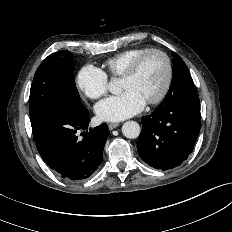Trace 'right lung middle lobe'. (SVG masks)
Masks as SVG:
<instances>
[{
    "label": "right lung middle lobe",
    "instance_id": "1",
    "mask_svg": "<svg viewBox=\"0 0 232 232\" xmlns=\"http://www.w3.org/2000/svg\"><path fill=\"white\" fill-rule=\"evenodd\" d=\"M71 54L58 51L48 56L38 67L33 78L29 98L32 133L36 139L47 121L62 107L81 110L73 76Z\"/></svg>",
    "mask_w": 232,
    "mask_h": 232
}]
</instances>
